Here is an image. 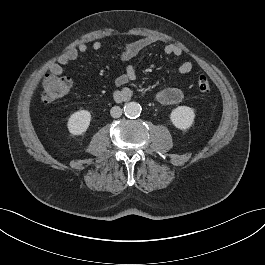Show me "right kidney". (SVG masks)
I'll use <instances>...</instances> for the list:
<instances>
[{
    "label": "right kidney",
    "mask_w": 265,
    "mask_h": 265,
    "mask_svg": "<svg viewBox=\"0 0 265 265\" xmlns=\"http://www.w3.org/2000/svg\"><path fill=\"white\" fill-rule=\"evenodd\" d=\"M91 121V114L87 110H80L75 113H73L67 123V127L69 132L72 135H81L84 134Z\"/></svg>",
    "instance_id": "1"
}]
</instances>
